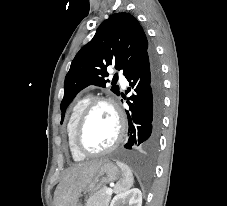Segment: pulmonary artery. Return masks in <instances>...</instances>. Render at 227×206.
Wrapping results in <instances>:
<instances>
[{"label": "pulmonary artery", "instance_id": "1", "mask_svg": "<svg viewBox=\"0 0 227 206\" xmlns=\"http://www.w3.org/2000/svg\"><path fill=\"white\" fill-rule=\"evenodd\" d=\"M120 80H121L122 85L126 86L127 82H126L125 78L122 75H120Z\"/></svg>", "mask_w": 227, "mask_h": 206}]
</instances>
